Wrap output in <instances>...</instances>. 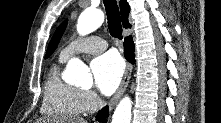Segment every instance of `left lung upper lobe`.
Here are the masks:
<instances>
[{"instance_id":"1","label":"left lung upper lobe","mask_w":221,"mask_h":123,"mask_svg":"<svg viewBox=\"0 0 221 123\" xmlns=\"http://www.w3.org/2000/svg\"><path fill=\"white\" fill-rule=\"evenodd\" d=\"M66 26H67V21H64L55 31V33L49 43L46 57H49L55 51V49H56L64 31H65Z\"/></svg>"}]
</instances>
